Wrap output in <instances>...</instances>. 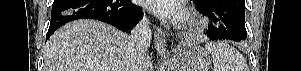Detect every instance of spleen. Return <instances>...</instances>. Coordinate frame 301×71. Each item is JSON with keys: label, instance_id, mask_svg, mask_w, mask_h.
<instances>
[{"label": "spleen", "instance_id": "spleen-1", "mask_svg": "<svg viewBox=\"0 0 301 71\" xmlns=\"http://www.w3.org/2000/svg\"><path fill=\"white\" fill-rule=\"evenodd\" d=\"M205 50L212 56L213 71H249L243 55L226 43L208 42Z\"/></svg>", "mask_w": 301, "mask_h": 71}]
</instances>
